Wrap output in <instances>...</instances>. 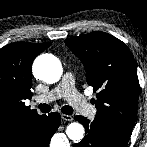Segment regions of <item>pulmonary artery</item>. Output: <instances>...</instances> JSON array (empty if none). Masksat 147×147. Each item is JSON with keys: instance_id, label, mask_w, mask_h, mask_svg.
Instances as JSON below:
<instances>
[{"instance_id": "e3ab8cb5", "label": "pulmonary artery", "mask_w": 147, "mask_h": 147, "mask_svg": "<svg viewBox=\"0 0 147 147\" xmlns=\"http://www.w3.org/2000/svg\"><path fill=\"white\" fill-rule=\"evenodd\" d=\"M59 98H64L78 112L87 116L94 117L96 108L80 94L75 88V81L72 73L66 72L59 84L46 94L36 96L37 103H48Z\"/></svg>"}]
</instances>
